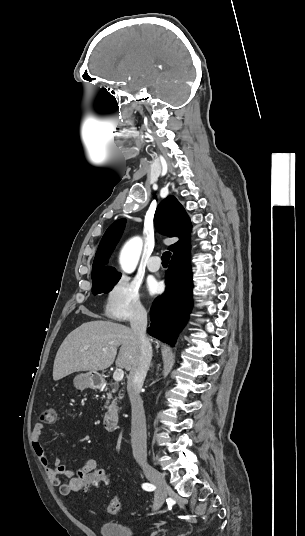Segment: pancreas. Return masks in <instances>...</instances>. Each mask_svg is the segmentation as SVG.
I'll list each match as a JSON object with an SVG mask.
<instances>
[{
    "label": "pancreas",
    "instance_id": "pancreas-1",
    "mask_svg": "<svg viewBox=\"0 0 305 536\" xmlns=\"http://www.w3.org/2000/svg\"><path fill=\"white\" fill-rule=\"evenodd\" d=\"M110 386H114L112 392H110V394H108V396H112V394H116L117 390H118V386H116V384H110ZM109 404V400H107L104 408H109V410H117V398H114V400H112V404L111 406H108Z\"/></svg>",
    "mask_w": 305,
    "mask_h": 536
}]
</instances>
